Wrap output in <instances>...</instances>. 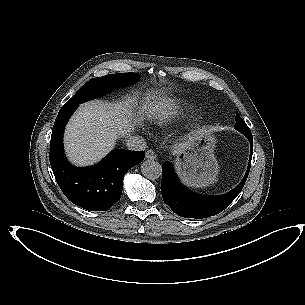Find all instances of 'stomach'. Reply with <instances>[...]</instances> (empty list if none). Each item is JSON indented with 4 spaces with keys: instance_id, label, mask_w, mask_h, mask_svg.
<instances>
[{
    "instance_id": "obj_1",
    "label": "stomach",
    "mask_w": 305,
    "mask_h": 305,
    "mask_svg": "<svg viewBox=\"0 0 305 305\" xmlns=\"http://www.w3.org/2000/svg\"><path fill=\"white\" fill-rule=\"evenodd\" d=\"M216 138L208 130L197 131L190 142L176 155L174 167L183 184L193 188H205L218 175L219 166L214 155Z\"/></svg>"
}]
</instances>
